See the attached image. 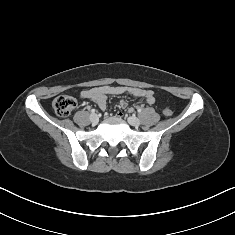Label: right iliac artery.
I'll use <instances>...</instances> for the list:
<instances>
[{
  "mask_svg": "<svg viewBox=\"0 0 235 235\" xmlns=\"http://www.w3.org/2000/svg\"><path fill=\"white\" fill-rule=\"evenodd\" d=\"M95 112H96V110H95V109H92V110H91V113H92V114H93V113H95Z\"/></svg>",
  "mask_w": 235,
  "mask_h": 235,
  "instance_id": "1",
  "label": "right iliac artery"
}]
</instances>
